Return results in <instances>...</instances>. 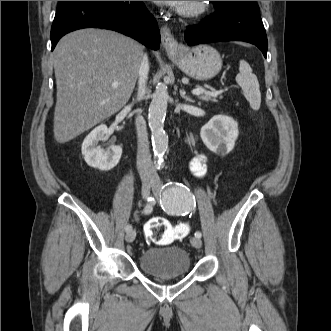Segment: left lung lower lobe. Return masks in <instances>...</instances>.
I'll return each instance as SVG.
<instances>
[{"mask_svg":"<svg viewBox=\"0 0 331 331\" xmlns=\"http://www.w3.org/2000/svg\"><path fill=\"white\" fill-rule=\"evenodd\" d=\"M189 45L218 41H244L256 45L266 57L267 36L256 2L229 3L216 9L198 26L185 31Z\"/></svg>","mask_w":331,"mask_h":331,"instance_id":"1","label":"left lung lower lobe"}]
</instances>
